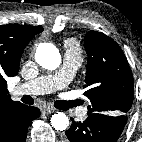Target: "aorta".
Returning a JSON list of instances; mask_svg holds the SVG:
<instances>
[{
  "label": "aorta",
  "mask_w": 142,
  "mask_h": 142,
  "mask_svg": "<svg viewBox=\"0 0 142 142\" xmlns=\"http://www.w3.org/2000/svg\"><path fill=\"white\" fill-rule=\"evenodd\" d=\"M35 59L43 68L54 70L61 62L59 50L52 43H41L36 49ZM51 125L54 129L63 131L69 125V119L63 112L55 113L51 118Z\"/></svg>",
  "instance_id": "aorta-1"
}]
</instances>
